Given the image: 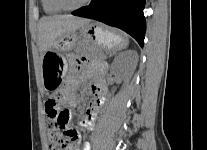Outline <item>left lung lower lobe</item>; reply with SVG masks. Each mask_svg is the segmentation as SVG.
<instances>
[{
	"label": "left lung lower lobe",
	"instance_id": "1",
	"mask_svg": "<svg viewBox=\"0 0 207 150\" xmlns=\"http://www.w3.org/2000/svg\"><path fill=\"white\" fill-rule=\"evenodd\" d=\"M145 0H94L88 6L72 12L73 15L91 18L122 29L144 45Z\"/></svg>",
	"mask_w": 207,
	"mask_h": 150
}]
</instances>
